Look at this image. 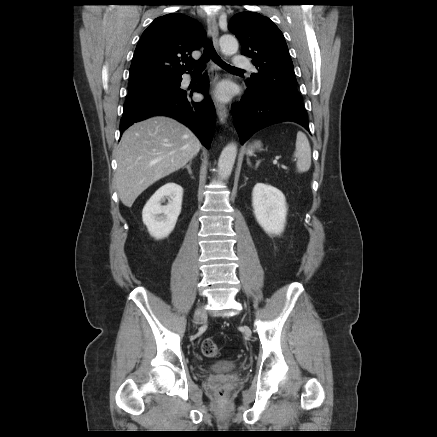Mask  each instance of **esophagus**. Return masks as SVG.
<instances>
[{
    "label": "esophagus",
    "mask_w": 437,
    "mask_h": 437,
    "mask_svg": "<svg viewBox=\"0 0 437 437\" xmlns=\"http://www.w3.org/2000/svg\"><path fill=\"white\" fill-rule=\"evenodd\" d=\"M207 28H208V33L212 39L214 47L216 49H218V47H219L218 46L219 31H218V25H217V22L215 21V19H213V18L208 19ZM217 70H218V66L212 62V64H211L212 87H214L218 81ZM214 104H215L216 112H217V115L219 117L220 122L222 124L225 123L227 116H228L227 107L223 103L219 102L216 99L214 100Z\"/></svg>",
    "instance_id": "1"
}]
</instances>
